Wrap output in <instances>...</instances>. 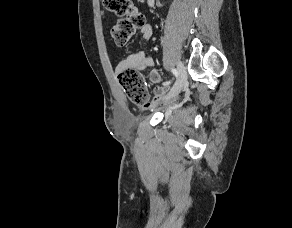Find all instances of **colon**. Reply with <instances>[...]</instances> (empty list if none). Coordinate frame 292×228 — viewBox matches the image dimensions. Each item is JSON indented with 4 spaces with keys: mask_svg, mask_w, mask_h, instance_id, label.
I'll return each mask as SVG.
<instances>
[{
    "mask_svg": "<svg viewBox=\"0 0 292 228\" xmlns=\"http://www.w3.org/2000/svg\"><path fill=\"white\" fill-rule=\"evenodd\" d=\"M105 8L120 19L111 29V35L119 46L125 45L134 32L145 24L144 16L133 6L131 0H103ZM118 80L128 98L143 105L148 98L142 74L136 69H126L118 74Z\"/></svg>",
    "mask_w": 292,
    "mask_h": 228,
    "instance_id": "5ec220e1",
    "label": "colon"
}]
</instances>
